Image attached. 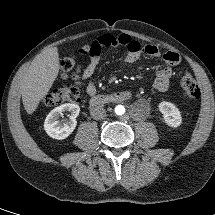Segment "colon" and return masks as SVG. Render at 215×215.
I'll use <instances>...</instances> for the list:
<instances>
[{
    "label": "colon",
    "mask_w": 215,
    "mask_h": 215,
    "mask_svg": "<svg viewBox=\"0 0 215 215\" xmlns=\"http://www.w3.org/2000/svg\"><path fill=\"white\" fill-rule=\"evenodd\" d=\"M81 55L89 53L88 46H84L79 50ZM62 70L65 75H70L72 78H76V72L78 71V64L72 57L65 58L61 63ZM182 88L188 99H196L200 97V88L197 85L192 75L186 73L182 77ZM80 91L76 86L63 87L56 89L44 98V104L47 106H57L64 103H75L79 101Z\"/></svg>",
    "instance_id": "1"
}]
</instances>
